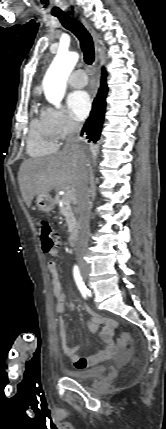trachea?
I'll return each instance as SVG.
<instances>
[{
  "mask_svg": "<svg viewBox=\"0 0 166 429\" xmlns=\"http://www.w3.org/2000/svg\"><path fill=\"white\" fill-rule=\"evenodd\" d=\"M62 25L70 30L80 41V46L84 54V61L88 65H92L95 59L94 42L90 33L86 28L76 19L68 16L64 12L53 13Z\"/></svg>",
  "mask_w": 166,
  "mask_h": 429,
  "instance_id": "3493384b",
  "label": "trachea"
}]
</instances>
